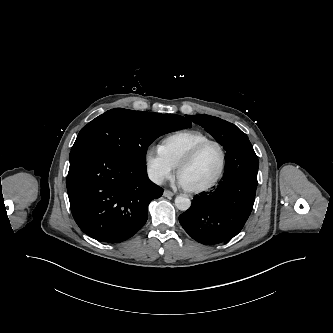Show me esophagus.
Segmentation results:
<instances>
[{"label": "esophagus", "instance_id": "34e87169", "mask_svg": "<svg viewBox=\"0 0 333 333\" xmlns=\"http://www.w3.org/2000/svg\"><path fill=\"white\" fill-rule=\"evenodd\" d=\"M174 195V193L173 192H171L170 190H164V192H163V196L164 197H172Z\"/></svg>", "mask_w": 333, "mask_h": 333}]
</instances>
